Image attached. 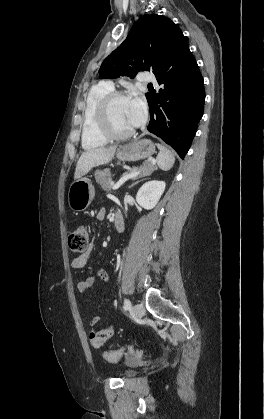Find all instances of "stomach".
<instances>
[{"label": "stomach", "instance_id": "0dacf381", "mask_svg": "<svg viewBox=\"0 0 264 419\" xmlns=\"http://www.w3.org/2000/svg\"><path fill=\"white\" fill-rule=\"evenodd\" d=\"M154 153V144L148 139H142L121 146L117 151V158L121 161H137L148 158ZM94 195L92 182L88 178H80L69 187L68 205L73 211H83L89 206Z\"/></svg>", "mask_w": 264, "mask_h": 419}]
</instances>
